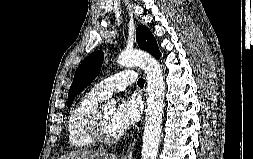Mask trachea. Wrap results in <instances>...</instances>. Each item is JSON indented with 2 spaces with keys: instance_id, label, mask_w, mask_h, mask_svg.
I'll return each mask as SVG.
<instances>
[{
  "instance_id": "1",
  "label": "trachea",
  "mask_w": 253,
  "mask_h": 159,
  "mask_svg": "<svg viewBox=\"0 0 253 159\" xmlns=\"http://www.w3.org/2000/svg\"><path fill=\"white\" fill-rule=\"evenodd\" d=\"M144 83H145V80H144L143 78H139V79H138L137 84H138L139 87H143V86H144Z\"/></svg>"
}]
</instances>
